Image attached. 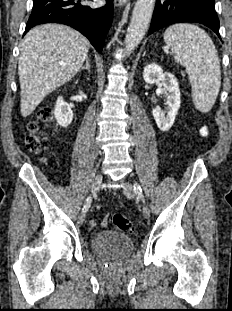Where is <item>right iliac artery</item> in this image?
Here are the masks:
<instances>
[{
	"label": "right iliac artery",
	"mask_w": 232,
	"mask_h": 311,
	"mask_svg": "<svg viewBox=\"0 0 232 311\" xmlns=\"http://www.w3.org/2000/svg\"><path fill=\"white\" fill-rule=\"evenodd\" d=\"M91 203H92V197H88V198L86 199L85 205H84L83 208H82V212H85V213H86V212L88 211V209H89Z\"/></svg>",
	"instance_id": "1"
}]
</instances>
